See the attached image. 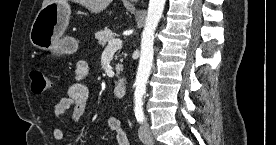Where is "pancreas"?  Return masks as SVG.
<instances>
[{"label": "pancreas", "instance_id": "obj_1", "mask_svg": "<svg viewBox=\"0 0 276 145\" xmlns=\"http://www.w3.org/2000/svg\"><path fill=\"white\" fill-rule=\"evenodd\" d=\"M95 39L98 41V44L101 47H105L106 44L113 39V33L110 29L105 28L104 30L98 31L95 33ZM123 70L122 64L116 65V76L120 74V72Z\"/></svg>", "mask_w": 276, "mask_h": 145}]
</instances>
